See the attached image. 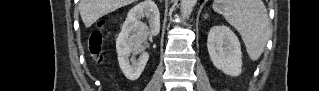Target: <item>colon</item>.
<instances>
[{
	"mask_svg": "<svg viewBox=\"0 0 319 91\" xmlns=\"http://www.w3.org/2000/svg\"><path fill=\"white\" fill-rule=\"evenodd\" d=\"M102 41V25H100L88 38V48L92 55L97 57L100 56Z\"/></svg>",
	"mask_w": 319,
	"mask_h": 91,
	"instance_id": "colon-1",
	"label": "colon"
}]
</instances>
